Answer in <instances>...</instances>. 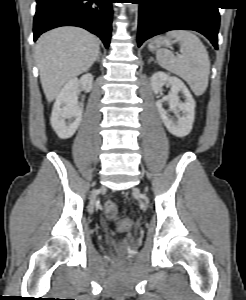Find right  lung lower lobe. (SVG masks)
<instances>
[{
  "instance_id": "obj_1",
  "label": "right lung lower lobe",
  "mask_w": 246,
  "mask_h": 300,
  "mask_svg": "<svg viewBox=\"0 0 246 300\" xmlns=\"http://www.w3.org/2000/svg\"><path fill=\"white\" fill-rule=\"evenodd\" d=\"M114 0H37L34 41L44 32L60 26L82 27L109 47Z\"/></svg>"
}]
</instances>
